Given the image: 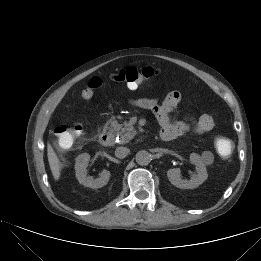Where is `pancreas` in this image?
Listing matches in <instances>:
<instances>
[{
    "label": "pancreas",
    "mask_w": 261,
    "mask_h": 261,
    "mask_svg": "<svg viewBox=\"0 0 261 261\" xmlns=\"http://www.w3.org/2000/svg\"><path fill=\"white\" fill-rule=\"evenodd\" d=\"M111 127L120 136V143H128L136 134L133 125L130 122L125 121L123 124L113 122Z\"/></svg>",
    "instance_id": "obj_1"
}]
</instances>
